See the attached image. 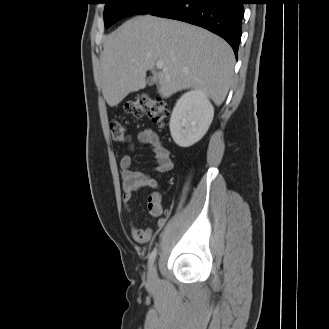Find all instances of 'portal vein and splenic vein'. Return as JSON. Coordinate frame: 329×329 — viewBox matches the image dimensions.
I'll list each match as a JSON object with an SVG mask.
<instances>
[{"label": "portal vein and splenic vein", "instance_id": "18ae733b", "mask_svg": "<svg viewBox=\"0 0 329 329\" xmlns=\"http://www.w3.org/2000/svg\"><path fill=\"white\" fill-rule=\"evenodd\" d=\"M156 67H157L158 69L167 70V68L164 66L163 61H157V62H156Z\"/></svg>", "mask_w": 329, "mask_h": 329}]
</instances>
